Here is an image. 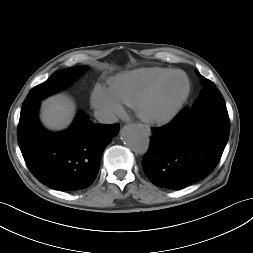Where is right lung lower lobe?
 I'll list each match as a JSON object with an SVG mask.
<instances>
[{"mask_svg":"<svg viewBox=\"0 0 253 253\" xmlns=\"http://www.w3.org/2000/svg\"><path fill=\"white\" fill-rule=\"evenodd\" d=\"M39 104L36 101L22 106L17 129L18 144L29 170L52 189L75 191L89 187L119 125H97L82 113L70 128L52 133L38 120Z\"/></svg>","mask_w":253,"mask_h":253,"instance_id":"obj_1","label":"right lung lower lobe"}]
</instances>
